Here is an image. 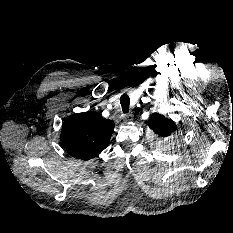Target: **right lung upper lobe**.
I'll return each mask as SVG.
<instances>
[{
    "mask_svg": "<svg viewBox=\"0 0 233 233\" xmlns=\"http://www.w3.org/2000/svg\"><path fill=\"white\" fill-rule=\"evenodd\" d=\"M114 126L113 121L95 112L77 113L63 123L60 139L70 155L89 160L108 146Z\"/></svg>",
    "mask_w": 233,
    "mask_h": 233,
    "instance_id": "1",
    "label": "right lung upper lobe"
}]
</instances>
